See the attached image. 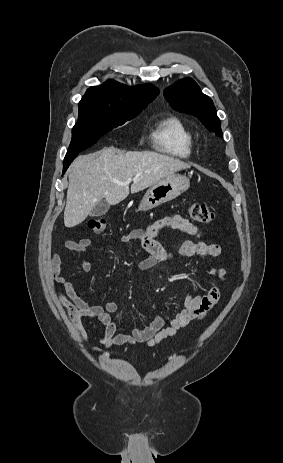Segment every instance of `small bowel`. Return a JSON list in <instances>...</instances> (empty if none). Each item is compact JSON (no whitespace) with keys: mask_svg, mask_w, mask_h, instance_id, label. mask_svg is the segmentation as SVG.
<instances>
[{"mask_svg":"<svg viewBox=\"0 0 283 463\" xmlns=\"http://www.w3.org/2000/svg\"><path fill=\"white\" fill-rule=\"evenodd\" d=\"M164 228L175 229L196 238L202 236L199 228L188 219L180 215H170L154 221L145 229H136L121 236L119 241L122 244L134 240L139 241L149 256L138 260L137 265L142 269H148L156 263L167 261L172 257V253L157 240L159 232ZM91 243L89 238H82L67 241L65 247L69 251L85 252ZM176 251L183 257H219L221 255L219 245L202 240L183 241ZM61 265L60 255L53 253L49 262L51 276L55 282L64 288V291H56L55 293L58 303L66 310L81 342L88 341V334L82 324V319L88 317L100 322L104 326V333L100 336V341L106 348L125 344H145L148 347H153L174 336L180 329L207 316L219 301L221 296L220 284L226 278L224 268H210L209 272L213 277V282L204 294L189 297L184 308L175 313L169 321L160 315H154L148 324L138 326L127 333L112 317V314L118 311L117 304L106 302L104 307H101L85 302L78 295L74 284L61 274ZM80 267L83 271L89 272L92 269V264L87 259H81ZM91 350L95 353L101 352V349L97 347H93Z\"/></svg>","mask_w":283,"mask_h":463,"instance_id":"c3829d8e","label":"small bowel"}]
</instances>
